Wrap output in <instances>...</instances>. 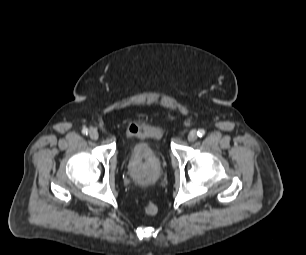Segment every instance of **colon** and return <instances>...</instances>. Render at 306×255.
Listing matches in <instances>:
<instances>
[{
	"label": "colon",
	"mask_w": 306,
	"mask_h": 255,
	"mask_svg": "<svg viewBox=\"0 0 306 255\" xmlns=\"http://www.w3.org/2000/svg\"><path fill=\"white\" fill-rule=\"evenodd\" d=\"M144 211L148 215H154L157 213V206L152 202H147L144 206Z\"/></svg>",
	"instance_id": "5ec220e1"
}]
</instances>
